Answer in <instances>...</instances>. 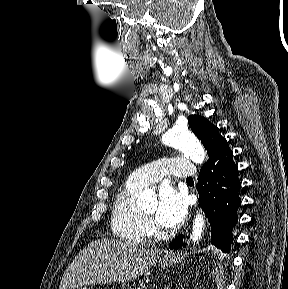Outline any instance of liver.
Wrapping results in <instances>:
<instances>
[{
	"instance_id": "1",
	"label": "liver",
	"mask_w": 288,
	"mask_h": 289,
	"mask_svg": "<svg viewBox=\"0 0 288 289\" xmlns=\"http://www.w3.org/2000/svg\"><path fill=\"white\" fill-rule=\"evenodd\" d=\"M161 254L162 250L145 249L128 242L95 240L65 270L59 289L132 281L155 265Z\"/></svg>"
}]
</instances>
